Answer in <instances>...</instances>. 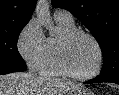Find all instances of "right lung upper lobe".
Wrapping results in <instances>:
<instances>
[{
    "mask_svg": "<svg viewBox=\"0 0 119 95\" xmlns=\"http://www.w3.org/2000/svg\"><path fill=\"white\" fill-rule=\"evenodd\" d=\"M36 0H0V27L28 23Z\"/></svg>",
    "mask_w": 119,
    "mask_h": 95,
    "instance_id": "right-lung-upper-lobe-1",
    "label": "right lung upper lobe"
}]
</instances>
